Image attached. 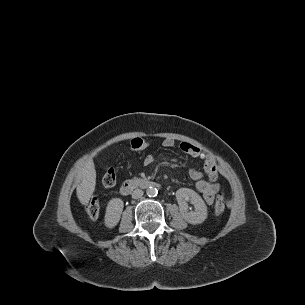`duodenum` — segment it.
<instances>
[{"instance_id": "410a0bca", "label": "duodenum", "mask_w": 305, "mask_h": 305, "mask_svg": "<svg viewBox=\"0 0 305 305\" xmlns=\"http://www.w3.org/2000/svg\"><path fill=\"white\" fill-rule=\"evenodd\" d=\"M160 183L152 180L147 179H131L125 181L121 187L120 192L123 195L130 194L136 188H152V187H159Z\"/></svg>"}]
</instances>
